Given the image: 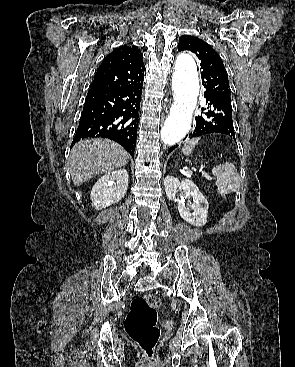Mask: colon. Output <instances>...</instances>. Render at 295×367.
Instances as JSON below:
<instances>
[{
    "instance_id": "1",
    "label": "colon",
    "mask_w": 295,
    "mask_h": 367,
    "mask_svg": "<svg viewBox=\"0 0 295 367\" xmlns=\"http://www.w3.org/2000/svg\"><path fill=\"white\" fill-rule=\"evenodd\" d=\"M160 298L151 293L135 297L125 319L127 335L138 344L147 359L152 358L160 339L157 310Z\"/></svg>"
}]
</instances>
